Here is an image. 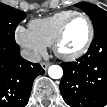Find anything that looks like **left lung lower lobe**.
<instances>
[{
  "label": "left lung lower lobe",
  "instance_id": "1",
  "mask_svg": "<svg viewBox=\"0 0 107 107\" xmlns=\"http://www.w3.org/2000/svg\"><path fill=\"white\" fill-rule=\"evenodd\" d=\"M60 91L71 107L107 105V29L94 34L89 50L77 62L62 63Z\"/></svg>",
  "mask_w": 107,
  "mask_h": 107
}]
</instances>
